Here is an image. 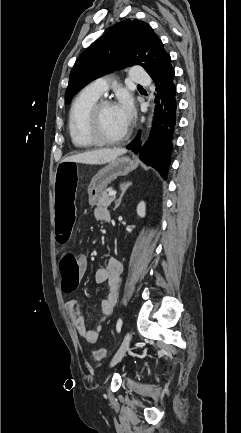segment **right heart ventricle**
Listing matches in <instances>:
<instances>
[{"label":"right heart ventricle","mask_w":241,"mask_h":433,"mask_svg":"<svg viewBox=\"0 0 241 433\" xmlns=\"http://www.w3.org/2000/svg\"><path fill=\"white\" fill-rule=\"evenodd\" d=\"M99 96L87 88L82 90L72 103L68 128L71 141L76 148L87 149L95 145L86 132V119L91 107L98 101Z\"/></svg>","instance_id":"right-heart-ventricle-1"}]
</instances>
